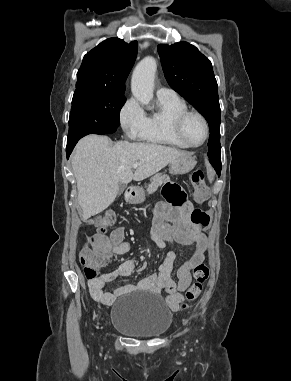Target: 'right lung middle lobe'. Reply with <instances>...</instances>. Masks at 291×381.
<instances>
[{
	"label": "right lung middle lobe",
	"instance_id": "obj_1",
	"mask_svg": "<svg viewBox=\"0 0 291 381\" xmlns=\"http://www.w3.org/2000/svg\"><path fill=\"white\" fill-rule=\"evenodd\" d=\"M123 93L104 89H76L69 118L67 142L78 141L88 134L116 131L119 113L125 103Z\"/></svg>",
	"mask_w": 291,
	"mask_h": 381
}]
</instances>
